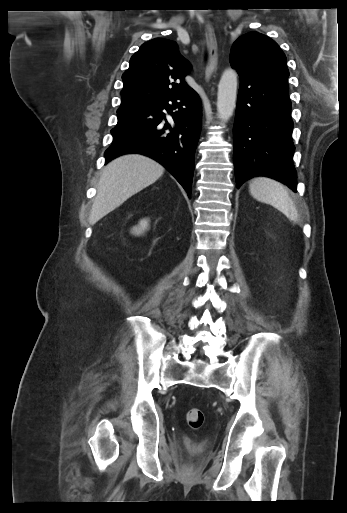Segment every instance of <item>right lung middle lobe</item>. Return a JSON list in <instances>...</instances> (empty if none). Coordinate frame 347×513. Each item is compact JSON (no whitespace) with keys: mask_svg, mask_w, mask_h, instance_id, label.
Returning a JSON list of instances; mask_svg holds the SVG:
<instances>
[{"mask_svg":"<svg viewBox=\"0 0 347 513\" xmlns=\"http://www.w3.org/2000/svg\"><path fill=\"white\" fill-rule=\"evenodd\" d=\"M122 111V108H119L118 112Z\"/></svg>","mask_w":347,"mask_h":513,"instance_id":"right-lung-middle-lobe-1","label":"right lung middle lobe"}]
</instances>
